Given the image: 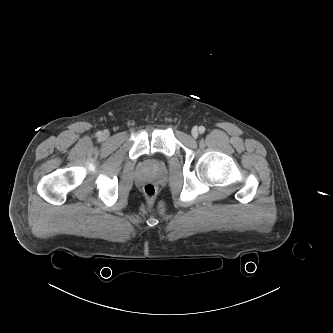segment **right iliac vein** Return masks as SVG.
Returning <instances> with one entry per match:
<instances>
[{
  "label": "right iliac vein",
  "mask_w": 333,
  "mask_h": 333,
  "mask_svg": "<svg viewBox=\"0 0 333 333\" xmlns=\"http://www.w3.org/2000/svg\"><path fill=\"white\" fill-rule=\"evenodd\" d=\"M104 137H108V132L103 133Z\"/></svg>",
  "instance_id": "1"
}]
</instances>
